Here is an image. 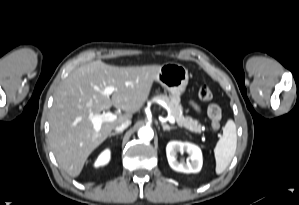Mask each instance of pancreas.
<instances>
[{
  "instance_id": "pancreas-1",
  "label": "pancreas",
  "mask_w": 299,
  "mask_h": 205,
  "mask_svg": "<svg viewBox=\"0 0 299 205\" xmlns=\"http://www.w3.org/2000/svg\"><path fill=\"white\" fill-rule=\"evenodd\" d=\"M156 99L162 100L166 103L170 110V115L174 117L178 126L184 127L191 132L200 133L205 128L199 123L198 120L193 119L190 116L183 115V107L180 104V98L176 96H162L158 95L155 97Z\"/></svg>"
}]
</instances>
